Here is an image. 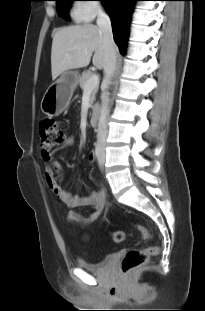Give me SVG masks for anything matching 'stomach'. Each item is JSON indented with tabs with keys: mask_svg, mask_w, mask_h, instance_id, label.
<instances>
[{
	"mask_svg": "<svg viewBox=\"0 0 205 311\" xmlns=\"http://www.w3.org/2000/svg\"><path fill=\"white\" fill-rule=\"evenodd\" d=\"M79 74L76 71L64 72L60 78L46 90L41 110L48 116H57L68 106L70 99L78 85Z\"/></svg>",
	"mask_w": 205,
	"mask_h": 311,
	"instance_id": "1",
	"label": "stomach"
}]
</instances>
